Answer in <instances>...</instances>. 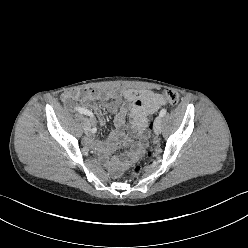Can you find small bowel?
Segmentation results:
<instances>
[{
    "label": "small bowel",
    "instance_id": "small-bowel-1",
    "mask_svg": "<svg viewBox=\"0 0 248 248\" xmlns=\"http://www.w3.org/2000/svg\"><path fill=\"white\" fill-rule=\"evenodd\" d=\"M119 97H123L125 102L119 103ZM61 99L65 106L70 109H76L77 101L85 104H91L95 100L106 102V108L114 116V130L110 133L105 143L94 141L93 133L86 135L85 141L87 144L94 146L102 153L106 154L120 144L129 145L131 152L128 156L117 160L116 164L123 165L135 159L141 148V142H133L124 133L125 118L127 115L131 118V130L134 138L144 139V130L148 123L149 115L158 111L166 101L160 97L158 93L147 89H120V90H91L79 89L75 91L64 92ZM96 115L101 124L106 122V118L102 111L94 106ZM91 112V111H90ZM93 114V113H92Z\"/></svg>",
    "mask_w": 248,
    "mask_h": 248
}]
</instances>
